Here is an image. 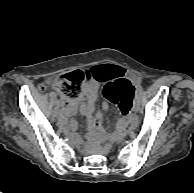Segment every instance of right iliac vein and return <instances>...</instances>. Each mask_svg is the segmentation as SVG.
Here are the masks:
<instances>
[{"label":"right iliac vein","mask_w":194,"mask_h":193,"mask_svg":"<svg viewBox=\"0 0 194 193\" xmlns=\"http://www.w3.org/2000/svg\"><path fill=\"white\" fill-rule=\"evenodd\" d=\"M58 119L61 120L62 119V116L58 115Z\"/></svg>","instance_id":"obj_1"}]
</instances>
